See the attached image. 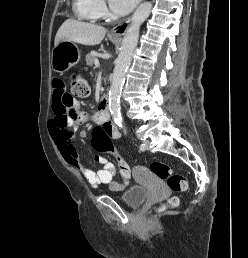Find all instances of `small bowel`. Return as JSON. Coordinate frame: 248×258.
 I'll return each instance as SVG.
<instances>
[{
    "instance_id": "1",
    "label": "small bowel",
    "mask_w": 248,
    "mask_h": 258,
    "mask_svg": "<svg viewBox=\"0 0 248 258\" xmlns=\"http://www.w3.org/2000/svg\"><path fill=\"white\" fill-rule=\"evenodd\" d=\"M52 109L54 117L49 122V129L65 161L78 168L94 189L99 188L101 185H108L113 191L126 189L129 184L128 181L117 182L114 180L117 169L115 165L105 157L95 156L96 161L101 166L97 171L88 168L79 160L73 143L72 132L78 130L81 123L84 122L88 116L78 109L77 102L66 90L61 79H54L52 82ZM65 111H73L72 119L68 120L67 124L62 123L61 119V113ZM92 118L108 136L113 139L120 138L118 128L110 119L102 118L100 112L94 114Z\"/></svg>"
}]
</instances>
